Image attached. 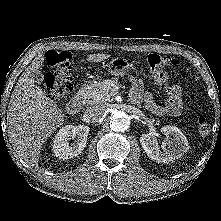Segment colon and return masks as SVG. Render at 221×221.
I'll return each mask as SVG.
<instances>
[{"label": "colon", "mask_w": 221, "mask_h": 221, "mask_svg": "<svg viewBox=\"0 0 221 221\" xmlns=\"http://www.w3.org/2000/svg\"><path fill=\"white\" fill-rule=\"evenodd\" d=\"M46 64L54 70L44 75V87L46 93L53 99L58 100L65 97L72 90L73 63L72 54L68 51H49L46 54ZM148 66L156 82L162 86L168 85V74L165 67L177 65L178 60L160 54L152 53L147 58ZM197 130L200 135H207L211 125L205 117H200L197 122Z\"/></svg>", "instance_id": "1"}]
</instances>
